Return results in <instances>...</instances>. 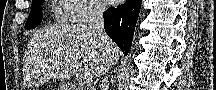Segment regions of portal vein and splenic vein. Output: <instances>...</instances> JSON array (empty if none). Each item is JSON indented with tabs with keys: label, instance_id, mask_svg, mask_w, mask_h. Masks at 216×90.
Here are the masks:
<instances>
[{
	"label": "portal vein and splenic vein",
	"instance_id": "1",
	"mask_svg": "<svg viewBox=\"0 0 216 90\" xmlns=\"http://www.w3.org/2000/svg\"><path fill=\"white\" fill-rule=\"evenodd\" d=\"M84 82H92V76L91 74H84V76H82Z\"/></svg>",
	"mask_w": 216,
	"mask_h": 90
}]
</instances>
